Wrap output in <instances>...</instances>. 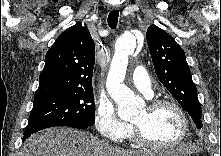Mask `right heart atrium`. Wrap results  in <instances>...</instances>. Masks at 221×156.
I'll use <instances>...</instances> for the list:
<instances>
[{
  "label": "right heart atrium",
  "mask_w": 221,
  "mask_h": 156,
  "mask_svg": "<svg viewBox=\"0 0 221 156\" xmlns=\"http://www.w3.org/2000/svg\"><path fill=\"white\" fill-rule=\"evenodd\" d=\"M94 124L101 136L113 142L125 139L131 132V126L119 118L115 105L105 96L96 101Z\"/></svg>",
  "instance_id": "1"
}]
</instances>
